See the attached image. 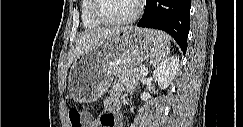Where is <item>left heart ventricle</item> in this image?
<instances>
[{"instance_id":"b2bd125f","label":"left heart ventricle","mask_w":243,"mask_h":127,"mask_svg":"<svg viewBox=\"0 0 243 127\" xmlns=\"http://www.w3.org/2000/svg\"><path fill=\"white\" fill-rule=\"evenodd\" d=\"M135 7V0H99V13L104 18L111 20L130 16Z\"/></svg>"}]
</instances>
